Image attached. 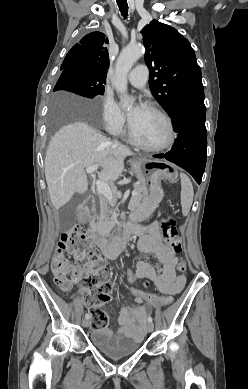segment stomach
I'll use <instances>...</instances> for the list:
<instances>
[{
	"label": "stomach",
	"mask_w": 248,
	"mask_h": 389,
	"mask_svg": "<svg viewBox=\"0 0 248 389\" xmlns=\"http://www.w3.org/2000/svg\"><path fill=\"white\" fill-rule=\"evenodd\" d=\"M132 169L140 182L135 183L136 189H143L139 209H135L130 215L132 220H147L152 211L158 206L164 196L162 181L173 182L178 175L176 164H167L150 159H137L131 162Z\"/></svg>",
	"instance_id": "0dacf381"
}]
</instances>
